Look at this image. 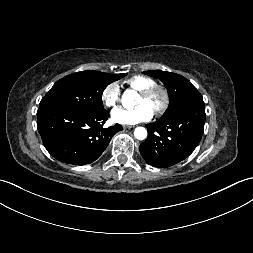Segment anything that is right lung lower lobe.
<instances>
[{
    "label": "right lung lower lobe",
    "instance_id": "98d812e1",
    "mask_svg": "<svg viewBox=\"0 0 253 253\" xmlns=\"http://www.w3.org/2000/svg\"><path fill=\"white\" fill-rule=\"evenodd\" d=\"M109 113L39 107L37 128L47 151L57 160L72 165L94 162L106 149L113 135L122 130L115 124L103 128Z\"/></svg>",
    "mask_w": 253,
    "mask_h": 253
}]
</instances>
